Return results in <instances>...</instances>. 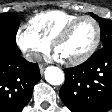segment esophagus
Segmentation results:
<instances>
[{"instance_id":"obj_1","label":"esophagus","mask_w":112,"mask_h":112,"mask_svg":"<svg viewBox=\"0 0 112 112\" xmlns=\"http://www.w3.org/2000/svg\"><path fill=\"white\" fill-rule=\"evenodd\" d=\"M39 69H40V73L43 74V72L45 70V66L43 64H40Z\"/></svg>"}]
</instances>
